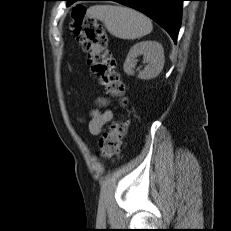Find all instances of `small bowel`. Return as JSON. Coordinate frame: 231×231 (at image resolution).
Returning <instances> with one entry per match:
<instances>
[{
	"instance_id": "obj_1",
	"label": "small bowel",
	"mask_w": 231,
	"mask_h": 231,
	"mask_svg": "<svg viewBox=\"0 0 231 231\" xmlns=\"http://www.w3.org/2000/svg\"><path fill=\"white\" fill-rule=\"evenodd\" d=\"M99 106H104L107 104V101L103 98L98 99L97 101ZM113 113L110 110L100 111L95 109L90 113V119L87 123L89 132L92 135H101L105 126L112 120Z\"/></svg>"
}]
</instances>
